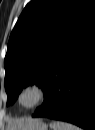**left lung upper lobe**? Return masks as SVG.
Instances as JSON below:
<instances>
[{"mask_svg":"<svg viewBox=\"0 0 95 130\" xmlns=\"http://www.w3.org/2000/svg\"><path fill=\"white\" fill-rule=\"evenodd\" d=\"M95 13L94 0H32L21 13L4 60L7 105L32 84L44 92L84 21Z\"/></svg>","mask_w":95,"mask_h":130,"instance_id":"left-lung-upper-lobe-1","label":"left lung upper lobe"}]
</instances>
